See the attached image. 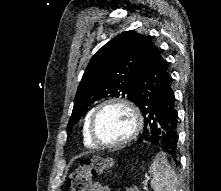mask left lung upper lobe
<instances>
[{
  "label": "left lung upper lobe",
  "instance_id": "5c2ea615",
  "mask_svg": "<svg viewBox=\"0 0 221 191\" xmlns=\"http://www.w3.org/2000/svg\"><path fill=\"white\" fill-rule=\"evenodd\" d=\"M149 41L146 35L126 31L94 54L79 84L67 129L101 98L122 97L136 103L137 79Z\"/></svg>",
  "mask_w": 221,
  "mask_h": 191
}]
</instances>
